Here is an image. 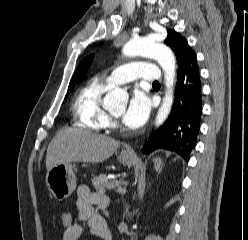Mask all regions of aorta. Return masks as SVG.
Instances as JSON below:
<instances>
[{
  "label": "aorta",
  "mask_w": 248,
  "mask_h": 240,
  "mask_svg": "<svg viewBox=\"0 0 248 240\" xmlns=\"http://www.w3.org/2000/svg\"><path fill=\"white\" fill-rule=\"evenodd\" d=\"M123 54L128 57L143 56L154 58L162 67L165 76V96L162 104L158 110L155 125L158 127L164 123L170 114L173 100L174 89L173 84L175 80V57L172 51L163 44L155 42L152 38H138L126 43L122 50ZM128 98L126 91L115 88L104 98V103L107 105H118Z\"/></svg>",
  "instance_id": "aorta-1"
}]
</instances>
